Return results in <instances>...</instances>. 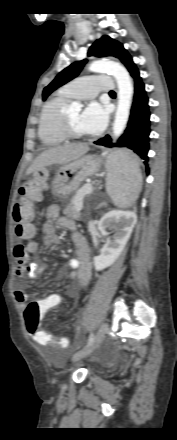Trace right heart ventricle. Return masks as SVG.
<instances>
[{
    "label": "right heart ventricle",
    "instance_id": "e07e8e85",
    "mask_svg": "<svg viewBox=\"0 0 177 440\" xmlns=\"http://www.w3.org/2000/svg\"><path fill=\"white\" fill-rule=\"evenodd\" d=\"M72 98L61 88L43 106L38 123V137L45 147L58 146L66 141L61 125L62 113Z\"/></svg>",
    "mask_w": 177,
    "mask_h": 440
}]
</instances>
